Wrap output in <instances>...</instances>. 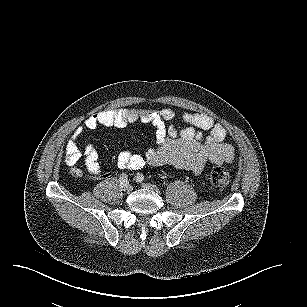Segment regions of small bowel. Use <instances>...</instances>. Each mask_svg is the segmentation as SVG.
<instances>
[{"mask_svg":"<svg viewBox=\"0 0 307 307\" xmlns=\"http://www.w3.org/2000/svg\"><path fill=\"white\" fill-rule=\"evenodd\" d=\"M174 119L175 113L170 108H122L93 114L85 120L84 126L89 130L98 127L123 128L130 123L141 121L155 128L157 145L147 149L143 154L130 150L121 151L116 158V164L120 169H141L146 164L169 165L200 175L209 164H222L234 160V148L226 142V129L211 116L206 113L184 114L182 120L187 124L184 128L175 126ZM204 131H209V134L205 136ZM81 136L82 130H75L66 144L65 162L68 165H74L82 156L78 147ZM84 157L89 173L99 176V155L93 145L86 146Z\"/></svg>","mask_w":307,"mask_h":307,"instance_id":"obj_1","label":"small bowel"}]
</instances>
